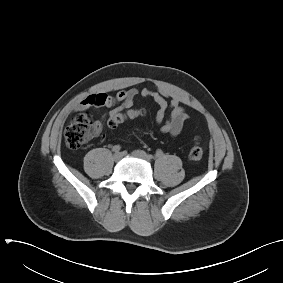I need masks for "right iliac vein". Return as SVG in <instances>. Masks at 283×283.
Here are the masks:
<instances>
[{
	"instance_id": "1",
	"label": "right iliac vein",
	"mask_w": 283,
	"mask_h": 283,
	"mask_svg": "<svg viewBox=\"0 0 283 283\" xmlns=\"http://www.w3.org/2000/svg\"><path fill=\"white\" fill-rule=\"evenodd\" d=\"M122 157H123V154L120 153V152H117V153L114 154L113 159H114L115 162H118L122 159Z\"/></svg>"
}]
</instances>
